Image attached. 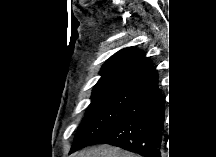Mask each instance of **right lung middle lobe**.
<instances>
[{
	"instance_id": "1",
	"label": "right lung middle lobe",
	"mask_w": 216,
	"mask_h": 157,
	"mask_svg": "<svg viewBox=\"0 0 216 157\" xmlns=\"http://www.w3.org/2000/svg\"><path fill=\"white\" fill-rule=\"evenodd\" d=\"M134 92L116 90L92 97L74 137L70 153L93 144L97 138L111 129L124 114Z\"/></svg>"
}]
</instances>
